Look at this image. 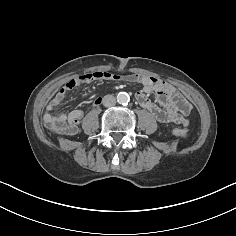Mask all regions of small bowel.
<instances>
[{
	"label": "small bowel",
	"instance_id": "1",
	"mask_svg": "<svg viewBox=\"0 0 236 236\" xmlns=\"http://www.w3.org/2000/svg\"><path fill=\"white\" fill-rule=\"evenodd\" d=\"M100 72L87 73L68 80L58 91L46 106V113L43 121L46 128L54 135H73L78 130V125L84 116L82 109H75L69 113L53 114V111L64 101L67 93L77 89L82 84H88L97 79L137 82L142 84L143 89L136 93L138 104L148 110L152 116L160 123H175L186 126L188 115L191 110V104L183 98L175 88L167 82L152 76L139 74L131 75H113L108 78L98 76ZM155 92L157 101L162 106L153 103L148 95ZM102 100L100 97L94 99L92 105L98 107Z\"/></svg>",
	"mask_w": 236,
	"mask_h": 236
}]
</instances>
